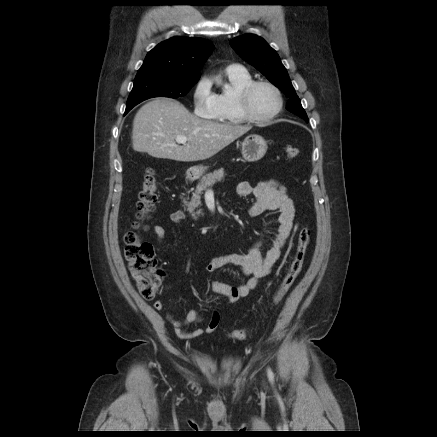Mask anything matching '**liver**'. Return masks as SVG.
Wrapping results in <instances>:
<instances>
[{"instance_id":"6515ba94","label":"liver","mask_w":437,"mask_h":437,"mask_svg":"<svg viewBox=\"0 0 437 437\" xmlns=\"http://www.w3.org/2000/svg\"><path fill=\"white\" fill-rule=\"evenodd\" d=\"M251 126L218 123L191 114L181 103L169 98H155L144 104L133 120V149L156 158L195 162L211 158ZM187 143L176 144V137Z\"/></svg>"}]
</instances>
